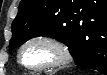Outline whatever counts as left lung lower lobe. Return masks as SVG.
Listing matches in <instances>:
<instances>
[{
    "label": "left lung lower lobe",
    "mask_w": 107,
    "mask_h": 75,
    "mask_svg": "<svg viewBox=\"0 0 107 75\" xmlns=\"http://www.w3.org/2000/svg\"><path fill=\"white\" fill-rule=\"evenodd\" d=\"M88 3L97 5L96 10L87 15L81 24L80 39L88 42L84 46L86 47L85 53L80 57H73V59L78 66L106 74L107 0H88ZM90 33L93 34V37L88 39Z\"/></svg>",
    "instance_id": "obj_1"
}]
</instances>
